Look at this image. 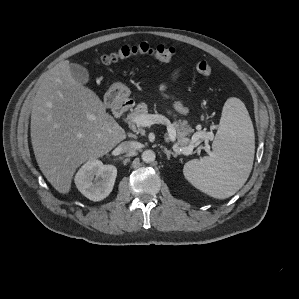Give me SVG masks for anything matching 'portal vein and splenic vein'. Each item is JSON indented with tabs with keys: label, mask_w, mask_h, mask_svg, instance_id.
Returning <instances> with one entry per match:
<instances>
[{
	"label": "portal vein and splenic vein",
	"mask_w": 299,
	"mask_h": 299,
	"mask_svg": "<svg viewBox=\"0 0 299 299\" xmlns=\"http://www.w3.org/2000/svg\"><path fill=\"white\" fill-rule=\"evenodd\" d=\"M133 121L137 125L142 126V127H149L153 124L166 125L167 131H168L166 141L175 140L176 130H175L173 124L170 122V120L168 118H166L165 116H163L161 114H142V115L137 116ZM193 140H195V138ZM175 147L182 154L190 155L193 153V149H194L195 145L191 144L187 147L178 148V145L176 144ZM198 152H200V149L198 150Z\"/></svg>",
	"instance_id": "18ae733b"
}]
</instances>
